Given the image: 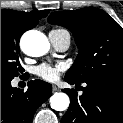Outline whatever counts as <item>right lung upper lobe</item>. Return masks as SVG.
<instances>
[{
	"label": "right lung upper lobe",
	"mask_w": 123,
	"mask_h": 123,
	"mask_svg": "<svg viewBox=\"0 0 123 123\" xmlns=\"http://www.w3.org/2000/svg\"><path fill=\"white\" fill-rule=\"evenodd\" d=\"M49 11H36V12H21L9 9H2L1 15H7L11 18L18 20L21 27L25 31L32 29L38 23L41 18H44L48 15Z\"/></svg>",
	"instance_id": "cb5924a9"
}]
</instances>
